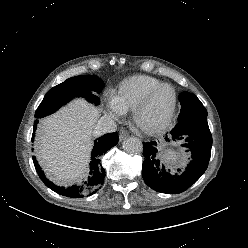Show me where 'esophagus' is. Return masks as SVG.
<instances>
[{
    "label": "esophagus",
    "instance_id": "1",
    "mask_svg": "<svg viewBox=\"0 0 248 248\" xmlns=\"http://www.w3.org/2000/svg\"><path fill=\"white\" fill-rule=\"evenodd\" d=\"M128 136H129V132L126 129L122 128L119 132V140L123 141Z\"/></svg>",
    "mask_w": 248,
    "mask_h": 248
}]
</instances>
